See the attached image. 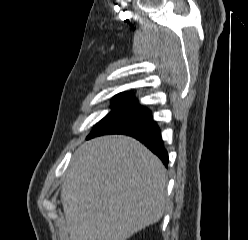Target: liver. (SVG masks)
Instances as JSON below:
<instances>
[{"label":"liver","instance_id":"liver-1","mask_svg":"<svg viewBox=\"0 0 248 240\" xmlns=\"http://www.w3.org/2000/svg\"><path fill=\"white\" fill-rule=\"evenodd\" d=\"M166 184L164 165L139 141L111 135L85 142L61 190L71 240H127L158 222Z\"/></svg>","mask_w":248,"mask_h":240}]
</instances>
